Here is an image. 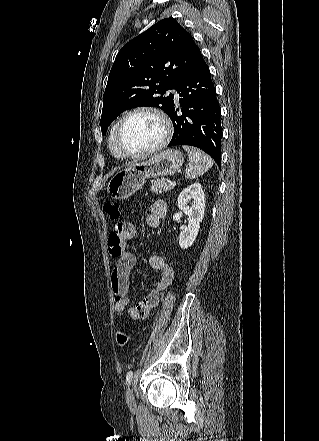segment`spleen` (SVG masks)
<instances>
[{
	"label": "spleen",
	"mask_w": 319,
	"mask_h": 441,
	"mask_svg": "<svg viewBox=\"0 0 319 441\" xmlns=\"http://www.w3.org/2000/svg\"><path fill=\"white\" fill-rule=\"evenodd\" d=\"M183 149L187 151L190 161V165L185 171L187 179H195L212 167V159L200 149L190 146H183Z\"/></svg>",
	"instance_id": "obj_1"
}]
</instances>
